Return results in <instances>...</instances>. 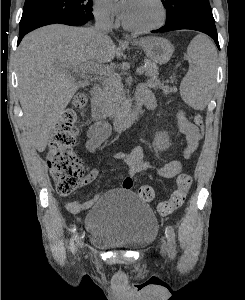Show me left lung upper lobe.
<instances>
[{"label": "left lung upper lobe", "instance_id": "5c2ea615", "mask_svg": "<svg viewBox=\"0 0 245 300\" xmlns=\"http://www.w3.org/2000/svg\"><path fill=\"white\" fill-rule=\"evenodd\" d=\"M167 11L166 24L182 16H194L215 21L209 0H161Z\"/></svg>", "mask_w": 245, "mask_h": 300}]
</instances>
